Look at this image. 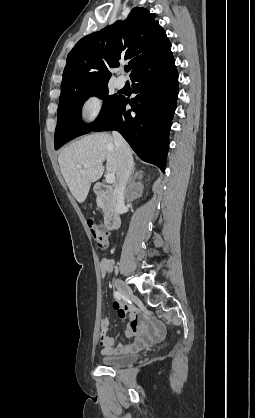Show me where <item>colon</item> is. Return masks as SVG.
<instances>
[{
  "label": "colon",
  "instance_id": "1",
  "mask_svg": "<svg viewBox=\"0 0 255 418\" xmlns=\"http://www.w3.org/2000/svg\"><path fill=\"white\" fill-rule=\"evenodd\" d=\"M88 226L96 244L102 249L107 248L109 245V233L96 224L92 219L88 220Z\"/></svg>",
  "mask_w": 255,
  "mask_h": 418
}]
</instances>
